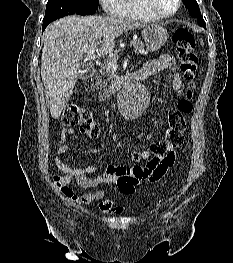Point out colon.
<instances>
[{"label":"colon","mask_w":233,"mask_h":263,"mask_svg":"<svg viewBox=\"0 0 233 263\" xmlns=\"http://www.w3.org/2000/svg\"><path fill=\"white\" fill-rule=\"evenodd\" d=\"M173 42L176 45L180 70L189 82L186 97L181 99L177 106L168 114L167 126L163 137L154 142L148 151L134 153L133 159L138 162L149 159L147 165L151 166L150 178L154 181L159 179L174 162V153L181 147L186 129V119L193 110V79L197 69L196 43L191 31L180 28L173 34ZM61 123L65 127H78L81 133L87 134L91 139L98 138L100 130L93 121L90 112L77 105H68L61 116ZM120 173L133 175L135 177L146 176L140 166H131L120 169ZM62 177L56 176V181Z\"/></svg>","instance_id":"5ec220e1"}]
</instances>
